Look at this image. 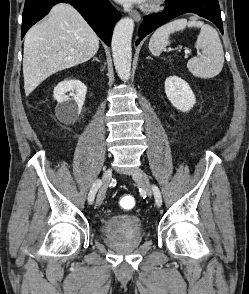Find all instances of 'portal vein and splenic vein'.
<instances>
[{
  "instance_id": "18ae733b",
  "label": "portal vein and splenic vein",
  "mask_w": 249,
  "mask_h": 294,
  "mask_svg": "<svg viewBox=\"0 0 249 294\" xmlns=\"http://www.w3.org/2000/svg\"><path fill=\"white\" fill-rule=\"evenodd\" d=\"M190 52L188 50H185V54H189Z\"/></svg>"
}]
</instances>
